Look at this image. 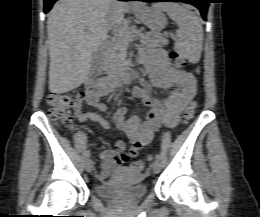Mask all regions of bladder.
I'll return each instance as SVG.
<instances>
[{
	"instance_id": "31cf9c89",
	"label": "bladder",
	"mask_w": 260,
	"mask_h": 217,
	"mask_svg": "<svg viewBox=\"0 0 260 217\" xmlns=\"http://www.w3.org/2000/svg\"><path fill=\"white\" fill-rule=\"evenodd\" d=\"M101 198L122 204L142 201L147 195V186L140 182V174L129 167H119L105 184L95 188Z\"/></svg>"
}]
</instances>
